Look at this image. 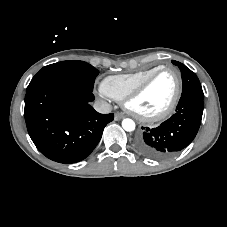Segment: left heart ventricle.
<instances>
[{
	"label": "left heart ventricle",
	"mask_w": 227,
	"mask_h": 227,
	"mask_svg": "<svg viewBox=\"0 0 227 227\" xmlns=\"http://www.w3.org/2000/svg\"><path fill=\"white\" fill-rule=\"evenodd\" d=\"M176 88L177 77L175 73L172 71L163 72L132 102L131 106L144 115L157 114L170 104Z\"/></svg>",
	"instance_id": "b2bd125f"
}]
</instances>
